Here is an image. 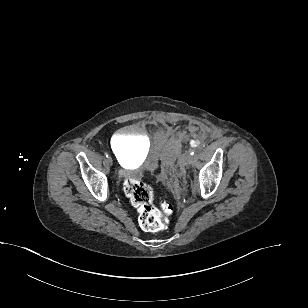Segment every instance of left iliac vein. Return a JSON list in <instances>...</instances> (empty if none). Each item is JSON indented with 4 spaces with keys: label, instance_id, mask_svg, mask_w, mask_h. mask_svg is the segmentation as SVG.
Returning a JSON list of instances; mask_svg holds the SVG:
<instances>
[{
    "label": "left iliac vein",
    "instance_id": "left-iliac-vein-1",
    "mask_svg": "<svg viewBox=\"0 0 308 308\" xmlns=\"http://www.w3.org/2000/svg\"><path fill=\"white\" fill-rule=\"evenodd\" d=\"M192 162H193V156H192L189 152H186V153L183 155V157H182V163H183V165L188 166V165H190Z\"/></svg>",
    "mask_w": 308,
    "mask_h": 308
}]
</instances>
